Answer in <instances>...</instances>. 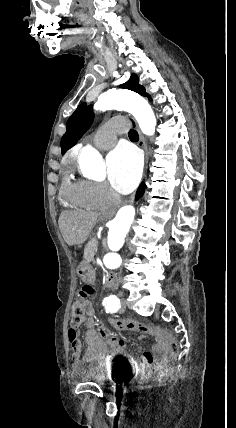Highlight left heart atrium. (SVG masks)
Returning <instances> with one entry per match:
<instances>
[{
    "label": "left heart atrium",
    "mask_w": 236,
    "mask_h": 428,
    "mask_svg": "<svg viewBox=\"0 0 236 428\" xmlns=\"http://www.w3.org/2000/svg\"><path fill=\"white\" fill-rule=\"evenodd\" d=\"M106 167L112 187L120 193H129L141 178L142 159L134 147L122 145L108 155Z\"/></svg>",
    "instance_id": "left-heart-atrium-1"
}]
</instances>
